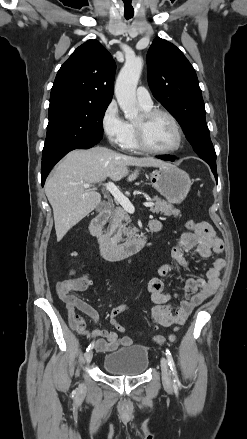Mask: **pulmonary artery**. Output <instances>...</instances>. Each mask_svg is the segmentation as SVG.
<instances>
[{
    "label": "pulmonary artery",
    "instance_id": "obj_1",
    "mask_svg": "<svg viewBox=\"0 0 247 439\" xmlns=\"http://www.w3.org/2000/svg\"><path fill=\"white\" fill-rule=\"evenodd\" d=\"M136 96H137V101L141 106L151 107L152 99L150 93L145 87L143 86L138 87L136 91Z\"/></svg>",
    "mask_w": 247,
    "mask_h": 439
}]
</instances>
